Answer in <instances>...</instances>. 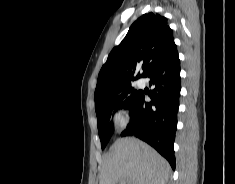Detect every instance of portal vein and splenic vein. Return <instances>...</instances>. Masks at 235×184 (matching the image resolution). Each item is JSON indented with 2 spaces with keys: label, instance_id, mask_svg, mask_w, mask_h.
<instances>
[{
  "label": "portal vein and splenic vein",
  "instance_id": "portal-vein-and-splenic-vein-1",
  "mask_svg": "<svg viewBox=\"0 0 235 184\" xmlns=\"http://www.w3.org/2000/svg\"><path fill=\"white\" fill-rule=\"evenodd\" d=\"M121 184H125V182H121Z\"/></svg>",
  "mask_w": 235,
  "mask_h": 184
}]
</instances>
